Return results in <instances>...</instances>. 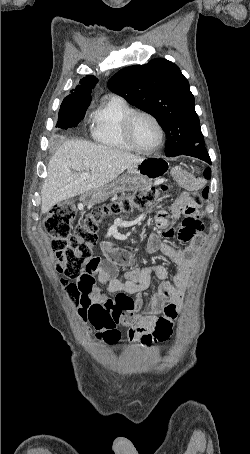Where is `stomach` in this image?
Listing matches in <instances>:
<instances>
[{
	"label": "stomach",
	"instance_id": "1",
	"mask_svg": "<svg viewBox=\"0 0 250 454\" xmlns=\"http://www.w3.org/2000/svg\"><path fill=\"white\" fill-rule=\"evenodd\" d=\"M166 167V161L160 158L144 159L141 163L127 169V174L113 183L87 191L81 199L85 204L101 203L121 189H146L154 182L161 180Z\"/></svg>",
	"mask_w": 250,
	"mask_h": 454
}]
</instances>
